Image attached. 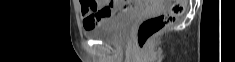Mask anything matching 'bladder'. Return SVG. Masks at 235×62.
Masks as SVG:
<instances>
[{
	"instance_id": "1",
	"label": "bladder",
	"mask_w": 235,
	"mask_h": 62,
	"mask_svg": "<svg viewBox=\"0 0 235 62\" xmlns=\"http://www.w3.org/2000/svg\"><path fill=\"white\" fill-rule=\"evenodd\" d=\"M136 18L137 11L135 9L120 11L104 25L87 30L86 36L108 44H120L126 39Z\"/></svg>"
}]
</instances>
